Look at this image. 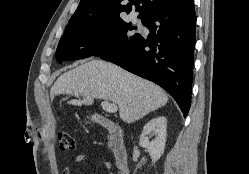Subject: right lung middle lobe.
I'll list each match as a JSON object with an SVG mask.
<instances>
[{"mask_svg": "<svg viewBox=\"0 0 249 174\" xmlns=\"http://www.w3.org/2000/svg\"><path fill=\"white\" fill-rule=\"evenodd\" d=\"M144 20H142V23ZM131 23L122 18L66 27L61 37L56 59L59 63L90 56L115 54L132 45L141 35L127 36Z\"/></svg>", "mask_w": 249, "mask_h": 174, "instance_id": "1", "label": "right lung middle lobe"}]
</instances>
